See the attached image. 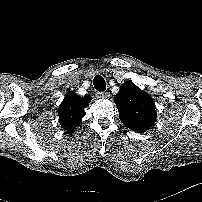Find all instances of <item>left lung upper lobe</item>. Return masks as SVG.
I'll return each mask as SVG.
<instances>
[{
    "mask_svg": "<svg viewBox=\"0 0 202 202\" xmlns=\"http://www.w3.org/2000/svg\"><path fill=\"white\" fill-rule=\"evenodd\" d=\"M121 122L138 133L145 132L154 125L156 110L153 99L132 81L120 87L115 98Z\"/></svg>",
    "mask_w": 202,
    "mask_h": 202,
    "instance_id": "left-lung-upper-lobe-1",
    "label": "left lung upper lobe"
}]
</instances>
